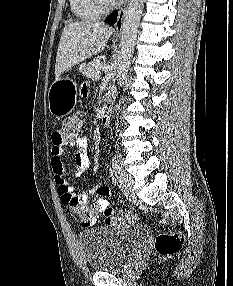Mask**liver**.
I'll use <instances>...</instances> for the list:
<instances>
[{
	"instance_id": "obj_1",
	"label": "liver",
	"mask_w": 233,
	"mask_h": 286,
	"mask_svg": "<svg viewBox=\"0 0 233 286\" xmlns=\"http://www.w3.org/2000/svg\"><path fill=\"white\" fill-rule=\"evenodd\" d=\"M113 32L111 26L101 21H78L66 25L56 56V79L67 69L100 53Z\"/></svg>"
}]
</instances>
